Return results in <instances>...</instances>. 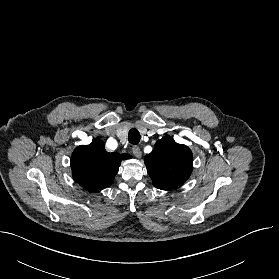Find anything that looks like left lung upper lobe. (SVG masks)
I'll return each mask as SVG.
<instances>
[{"mask_svg":"<svg viewBox=\"0 0 279 279\" xmlns=\"http://www.w3.org/2000/svg\"><path fill=\"white\" fill-rule=\"evenodd\" d=\"M153 185L161 190H173L182 185L193 169L192 152L172 137L158 140L155 148L144 158Z\"/></svg>","mask_w":279,"mask_h":279,"instance_id":"obj_1","label":"left lung upper lobe"}]
</instances>
